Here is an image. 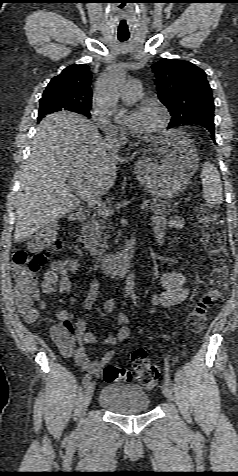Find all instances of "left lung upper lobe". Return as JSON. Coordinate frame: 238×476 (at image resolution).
<instances>
[{"label": "left lung upper lobe", "instance_id": "1", "mask_svg": "<svg viewBox=\"0 0 238 476\" xmlns=\"http://www.w3.org/2000/svg\"><path fill=\"white\" fill-rule=\"evenodd\" d=\"M152 69L158 97L172 116L168 128L214 123L211 88L201 68L188 61L164 58L152 65Z\"/></svg>", "mask_w": 238, "mask_h": 476}]
</instances>
